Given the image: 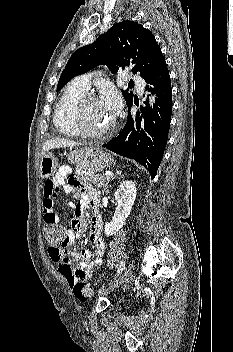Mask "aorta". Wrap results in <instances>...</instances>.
<instances>
[{
  "label": "aorta",
  "instance_id": "762f6f07",
  "mask_svg": "<svg viewBox=\"0 0 233 352\" xmlns=\"http://www.w3.org/2000/svg\"><path fill=\"white\" fill-rule=\"evenodd\" d=\"M150 103L153 104L154 103V99H151Z\"/></svg>",
  "mask_w": 233,
  "mask_h": 352
}]
</instances>
